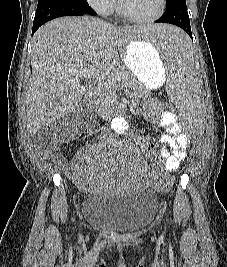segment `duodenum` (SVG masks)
I'll return each instance as SVG.
<instances>
[{"instance_id":"1","label":"duodenum","mask_w":227,"mask_h":267,"mask_svg":"<svg viewBox=\"0 0 227 267\" xmlns=\"http://www.w3.org/2000/svg\"><path fill=\"white\" fill-rule=\"evenodd\" d=\"M96 95V89L94 86H89L87 89L88 98H93Z\"/></svg>"}]
</instances>
